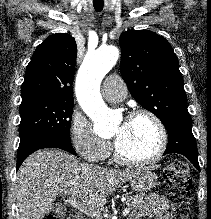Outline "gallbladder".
<instances>
[{
    "label": "gallbladder",
    "mask_w": 211,
    "mask_h": 219,
    "mask_svg": "<svg viewBox=\"0 0 211 219\" xmlns=\"http://www.w3.org/2000/svg\"><path fill=\"white\" fill-rule=\"evenodd\" d=\"M53 211L58 215H64L66 213L65 208L59 203L53 205Z\"/></svg>",
    "instance_id": "1"
}]
</instances>
